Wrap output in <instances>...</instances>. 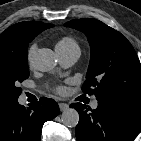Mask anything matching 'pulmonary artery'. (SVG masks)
Masks as SVG:
<instances>
[{
  "label": "pulmonary artery",
  "mask_w": 141,
  "mask_h": 141,
  "mask_svg": "<svg viewBox=\"0 0 141 141\" xmlns=\"http://www.w3.org/2000/svg\"><path fill=\"white\" fill-rule=\"evenodd\" d=\"M79 54L80 53H78V52L58 53L60 60L63 64V66H65V67L72 66L77 61ZM91 107L93 109H96L98 107V101L94 100L91 103Z\"/></svg>",
  "instance_id": "pulmonary-artery-1"
}]
</instances>
